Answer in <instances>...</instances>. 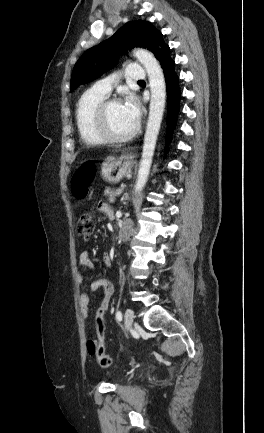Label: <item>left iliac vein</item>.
<instances>
[{
  "mask_svg": "<svg viewBox=\"0 0 264 433\" xmlns=\"http://www.w3.org/2000/svg\"><path fill=\"white\" fill-rule=\"evenodd\" d=\"M133 321H134L133 311L127 308L125 312V327L128 331L132 328Z\"/></svg>",
  "mask_w": 264,
  "mask_h": 433,
  "instance_id": "1",
  "label": "left iliac vein"
}]
</instances>
